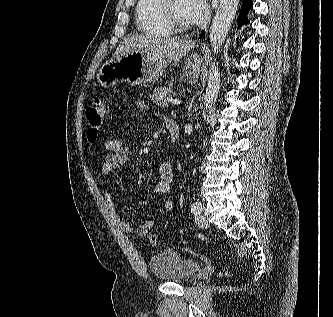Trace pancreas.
<instances>
[{
	"label": "pancreas",
	"instance_id": "1",
	"mask_svg": "<svg viewBox=\"0 0 333 317\" xmlns=\"http://www.w3.org/2000/svg\"><path fill=\"white\" fill-rule=\"evenodd\" d=\"M172 91L170 87H159L154 89L151 95V100L160 107H168L169 102L167 101V97H170Z\"/></svg>",
	"mask_w": 333,
	"mask_h": 317
}]
</instances>
